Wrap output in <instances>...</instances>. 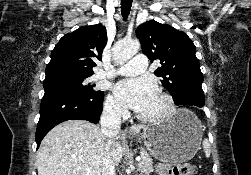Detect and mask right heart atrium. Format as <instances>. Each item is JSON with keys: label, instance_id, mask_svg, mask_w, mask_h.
I'll return each instance as SVG.
<instances>
[{"label": "right heart atrium", "instance_id": "right-heart-atrium-1", "mask_svg": "<svg viewBox=\"0 0 251 175\" xmlns=\"http://www.w3.org/2000/svg\"><path fill=\"white\" fill-rule=\"evenodd\" d=\"M104 112L108 117L115 120L125 119L128 115L127 109L122 106L112 94H109L106 97L104 103Z\"/></svg>", "mask_w": 251, "mask_h": 175}]
</instances>
